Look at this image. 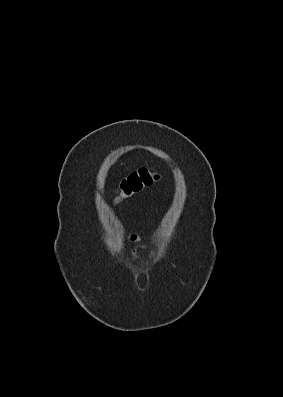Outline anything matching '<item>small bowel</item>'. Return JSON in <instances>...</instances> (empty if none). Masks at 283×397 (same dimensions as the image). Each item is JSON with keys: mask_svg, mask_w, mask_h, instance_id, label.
Listing matches in <instances>:
<instances>
[{"mask_svg": "<svg viewBox=\"0 0 283 397\" xmlns=\"http://www.w3.org/2000/svg\"><path fill=\"white\" fill-rule=\"evenodd\" d=\"M126 239L128 242L134 244V247L131 250V257L133 261L136 263H140L141 262L140 254L141 252L147 249V245L144 239L138 233L135 232L129 233L126 236ZM150 256L153 258L155 256V252L151 251Z\"/></svg>", "mask_w": 283, "mask_h": 397, "instance_id": "c3829d8e", "label": "small bowel"}]
</instances>
